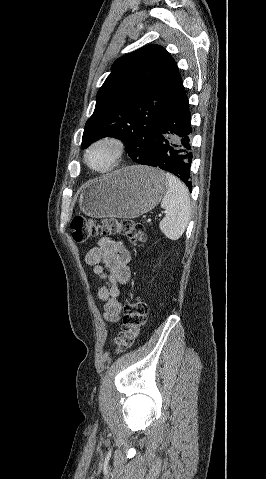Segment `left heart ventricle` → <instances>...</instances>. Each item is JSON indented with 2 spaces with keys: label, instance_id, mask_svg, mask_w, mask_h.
<instances>
[{
  "label": "left heart ventricle",
  "instance_id": "left-heart-ventricle-1",
  "mask_svg": "<svg viewBox=\"0 0 266 479\" xmlns=\"http://www.w3.org/2000/svg\"><path fill=\"white\" fill-rule=\"evenodd\" d=\"M112 158V151L108 147H100L94 150L90 156L91 164L97 168L107 167Z\"/></svg>",
  "mask_w": 266,
  "mask_h": 479
}]
</instances>
